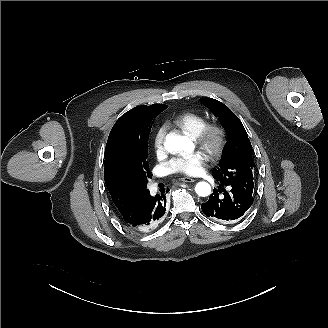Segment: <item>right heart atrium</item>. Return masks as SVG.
<instances>
[{
	"instance_id": "right-heart-atrium-1",
	"label": "right heart atrium",
	"mask_w": 328,
	"mask_h": 328,
	"mask_svg": "<svg viewBox=\"0 0 328 328\" xmlns=\"http://www.w3.org/2000/svg\"><path fill=\"white\" fill-rule=\"evenodd\" d=\"M167 128L164 124L157 125L151 135L150 139V148L152 152L159 156L165 153V136H166Z\"/></svg>"
}]
</instances>
